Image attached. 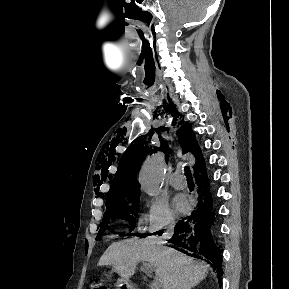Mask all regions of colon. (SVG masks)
Masks as SVG:
<instances>
[{
	"label": "colon",
	"mask_w": 289,
	"mask_h": 289,
	"mask_svg": "<svg viewBox=\"0 0 289 289\" xmlns=\"http://www.w3.org/2000/svg\"><path fill=\"white\" fill-rule=\"evenodd\" d=\"M89 289H109L103 281L97 280L90 284Z\"/></svg>",
	"instance_id": "colon-1"
}]
</instances>
